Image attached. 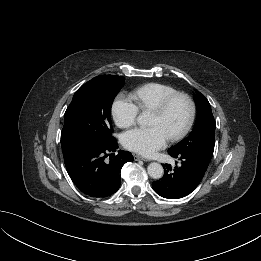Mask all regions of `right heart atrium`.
I'll return each instance as SVG.
<instances>
[{"label":"right heart atrium","instance_id":"right-heart-atrium-1","mask_svg":"<svg viewBox=\"0 0 261 261\" xmlns=\"http://www.w3.org/2000/svg\"><path fill=\"white\" fill-rule=\"evenodd\" d=\"M112 117L120 128L132 126L138 117L139 106L128 96L119 95L112 105Z\"/></svg>","mask_w":261,"mask_h":261}]
</instances>
